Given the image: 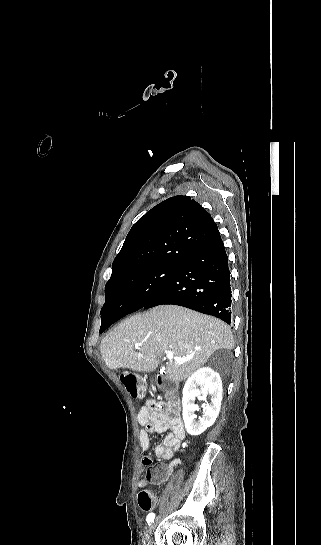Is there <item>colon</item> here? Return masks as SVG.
I'll use <instances>...</instances> for the list:
<instances>
[{"label": "colon", "instance_id": "5ec220e1", "mask_svg": "<svg viewBox=\"0 0 321 545\" xmlns=\"http://www.w3.org/2000/svg\"><path fill=\"white\" fill-rule=\"evenodd\" d=\"M119 378L126 391L132 398L138 399L141 396V385L139 379L130 371L122 370L119 373ZM160 475V473H158ZM138 503L142 510L150 511L156 505V498L151 490L142 489L138 493Z\"/></svg>", "mask_w": 321, "mask_h": 545}]
</instances>
